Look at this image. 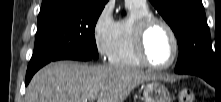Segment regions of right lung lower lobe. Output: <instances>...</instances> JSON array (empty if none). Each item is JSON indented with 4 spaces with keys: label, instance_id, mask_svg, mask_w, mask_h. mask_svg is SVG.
Segmentation results:
<instances>
[{
    "label": "right lung lower lobe",
    "instance_id": "1",
    "mask_svg": "<svg viewBox=\"0 0 221 102\" xmlns=\"http://www.w3.org/2000/svg\"><path fill=\"white\" fill-rule=\"evenodd\" d=\"M90 59H92V58L81 55V54H66V55L62 56L59 60L88 61ZM40 68H37V69L32 70V71H27V73H26V85L30 82V80H31L32 76L35 74V72Z\"/></svg>",
    "mask_w": 221,
    "mask_h": 102
}]
</instances>
